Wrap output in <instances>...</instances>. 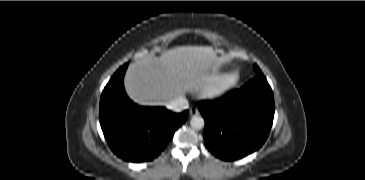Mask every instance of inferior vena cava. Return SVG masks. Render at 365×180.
Segmentation results:
<instances>
[{"instance_id": "obj_1", "label": "inferior vena cava", "mask_w": 365, "mask_h": 180, "mask_svg": "<svg viewBox=\"0 0 365 180\" xmlns=\"http://www.w3.org/2000/svg\"><path fill=\"white\" fill-rule=\"evenodd\" d=\"M166 107L175 112H181L182 110L188 109L189 104L188 100L182 96L166 103Z\"/></svg>"}]
</instances>
